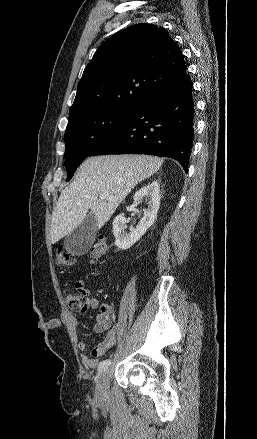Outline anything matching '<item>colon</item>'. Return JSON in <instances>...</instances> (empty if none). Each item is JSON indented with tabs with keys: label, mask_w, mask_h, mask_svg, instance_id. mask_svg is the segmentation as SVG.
<instances>
[{
	"label": "colon",
	"mask_w": 257,
	"mask_h": 439,
	"mask_svg": "<svg viewBox=\"0 0 257 439\" xmlns=\"http://www.w3.org/2000/svg\"><path fill=\"white\" fill-rule=\"evenodd\" d=\"M107 253V243L101 236L92 246L90 257L92 262H99ZM55 262L59 266H70L75 262V255L64 247L58 248L55 254ZM86 290L76 285L75 290L65 294V301L69 309L74 311L83 310Z\"/></svg>",
	"instance_id": "1"
}]
</instances>
